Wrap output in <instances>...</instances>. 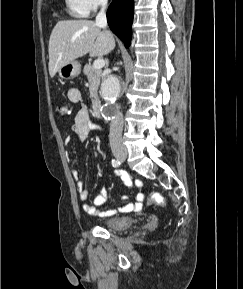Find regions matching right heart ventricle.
I'll use <instances>...</instances> for the list:
<instances>
[{
  "label": "right heart ventricle",
  "instance_id": "1",
  "mask_svg": "<svg viewBox=\"0 0 243 289\" xmlns=\"http://www.w3.org/2000/svg\"><path fill=\"white\" fill-rule=\"evenodd\" d=\"M67 1V0H66ZM67 4L69 6V10L70 12L73 14V15H76V16H83V14H81L78 10H76L75 8H73L69 2L67 1Z\"/></svg>",
  "mask_w": 243,
  "mask_h": 289
}]
</instances>
